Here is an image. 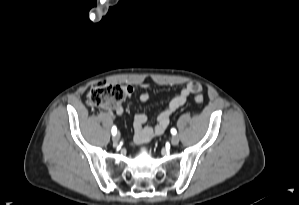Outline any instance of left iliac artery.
<instances>
[{"instance_id": "obj_1", "label": "left iliac artery", "mask_w": 299, "mask_h": 205, "mask_svg": "<svg viewBox=\"0 0 299 205\" xmlns=\"http://www.w3.org/2000/svg\"><path fill=\"white\" fill-rule=\"evenodd\" d=\"M171 133H172L173 135H175V134L177 133L176 129H175V128H172V129H171Z\"/></svg>"}]
</instances>
